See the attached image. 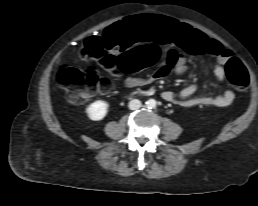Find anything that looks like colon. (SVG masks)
I'll list each match as a JSON object with an SVG mask.
<instances>
[{
	"instance_id": "obj_1",
	"label": "colon",
	"mask_w": 258,
	"mask_h": 206,
	"mask_svg": "<svg viewBox=\"0 0 258 206\" xmlns=\"http://www.w3.org/2000/svg\"><path fill=\"white\" fill-rule=\"evenodd\" d=\"M81 57L90 62L85 70L71 65L60 66L56 81L66 91L69 102L78 104L95 93H107L113 81L100 76L97 66L108 71L114 79H120L125 73H133L148 68L156 63L159 50L154 45L136 47L121 56L109 52L101 41H87L81 50ZM225 74L239 91H245L249 85V74L242 62L231 57L225 64Z\"/></svg>"
}]
</instances>
